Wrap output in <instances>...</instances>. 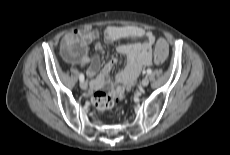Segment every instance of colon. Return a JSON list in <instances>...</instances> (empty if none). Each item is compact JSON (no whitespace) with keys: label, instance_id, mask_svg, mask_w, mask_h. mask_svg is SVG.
<instances>
[{"label":"colon","instance_id":"5ec220e1","mask_svg":"<svg viewBox=\"0 0 230 155\" xmlns=\"http://www.w3.org/2000/svg\"><path fill=\"white\" fill-rule=\"evenodd\" d=\"M69 45L74 48V53H81L80 42L77 38H71L69 40ZM168 55V44L167 42L160 38L157 40L155 45V55L154 60L156 63H163ZM124 96L121 88L115 89L109 93L96 92L93 96V104L96 109L100 112L107 111L111 109L114 104L122 99Z\"/></svg>","mask_w":230,"mask_h":155}]
</instances>
